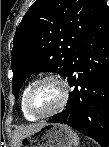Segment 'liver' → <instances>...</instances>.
Segmentation results:
<instances>
[{
  "label": "liver",
  "mask_w": 109,
  "mask_h": 147,
  "mask_svg": "<svg viewBox=\"0 0 109 147\" xmlns=\"http://www.w3.org/2000/svg\"><path fill=\"white\" fill-rule=\"evenodd\" d=\"M45 125L46 123H41V124H33V125L18 128L13 135L14 147H19L20 142L24 137L34 133L35 131L39 130Z\"/></svg>",
  "instance_id": "6515ba94"
}]
</instances>
